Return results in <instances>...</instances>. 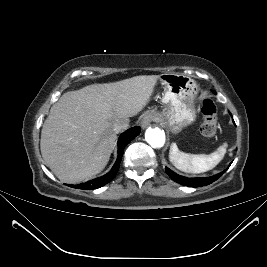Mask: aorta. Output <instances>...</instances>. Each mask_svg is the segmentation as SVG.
<instances>
[{
  "instance_id": "obj_1",
  "label": "aorta",
  "mask_w": 267,
  "mask_h": 267,
  "mask_svg": "<svg viewBox=\"0 0 267 267\" xmlns=\"http://www.w3.org/2000/svg\"><path fill=\"white\" fill-rule=\"evenodd\" d=\"M145 139L153 148H160L165 143V132L159 128H148L145 133Z\"/></svg>"
}]
</instances>
